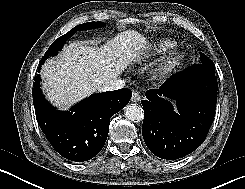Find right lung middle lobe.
I'll use <instances>...</instances> for the list:
<instances>
[{"mask_svg": "<svg viewBox=\"0 0 245 189\" xmlns=\"http://www.w3.org/2000/svg\"><path fill=\"white\" fill-rule=\"evenodd\" d=\"M104 23L102 22H87L76 26L75 28L71 29L68 33L64 34L63 36L59 37L54 43L48 48V51L42 57L40 64H43L44 61L49 58L50 56H54L57 54L59 50L63 47L66 40H68L74 33L81 30L93 29L102 27Z\"/></svg>", "mask_w": 245, "mask_h": 189, "instance_id": "1", "label": "right lung middle lobe"}]
</instances>
